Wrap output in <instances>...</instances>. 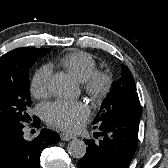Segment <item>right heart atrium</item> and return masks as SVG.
I'll return each instance as SVG.
<instances>
[{"label": "right heart atrium", "mask_w": 168, "mask_h": 168, "mask_svg": "<svg viewBox=\"0 0 168 168\" xmlns=\"http://www.w3.org/2000/svg\"><path fill=\"white\" fill-rule=\"evenodd\" d=\"M51 78V69L48 66L39 68L31 81L30 91L31 94L36 98H44L48 96L49 84Z\"/></svg>", "instance_id": "obj_1"}]
</instances>
